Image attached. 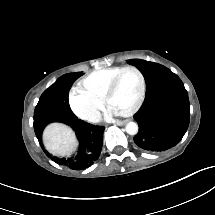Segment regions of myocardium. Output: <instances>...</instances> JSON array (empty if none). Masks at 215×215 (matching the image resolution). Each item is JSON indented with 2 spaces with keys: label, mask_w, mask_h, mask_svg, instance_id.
<instances>
[{
  "label": "myocardium",
  "mask_w": 215,
  "mask_h": 215,
  "mask_svg": "<svg viewBox=\"0 0 215 215\" xmlns=\"http://www.w3.org/2000/svg\"><path fill=\"white\" fill-rule=\"evenodd\" d=\"M125 72L132 73L136 77L137 83H136L134 97L131 102V106L128 108H119L113 105L112 99L119 87L121 74ZM143 93H144V78L141 72L133 66L119 67L116 71V74L114 75V80L110 85V88L108 89V92L105 96V107L107 111L111 114L122 115V116L132 115L140 108V103L143 97Z\"/></svg>",
  "instance_id": "1"
}]
</instances>
